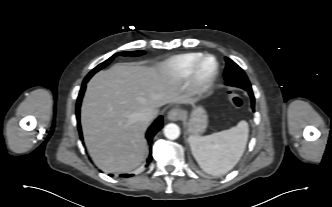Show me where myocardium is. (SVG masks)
<instances>
[{"label":"myocardium","mask_w":332,"mask_h":207,"mask_svg":"<svg viewBox=\"0 0 332 207\" xmlns=\"http://www.w3.org/2000/svg\"><path fill=\"white\" fill-rule=\"evenodd\" d=\"M207 59H211L214 65L212 71L208 75L204 76L201 74V66L203 62ZM218 73L219 63L216 57L210 54L202 55L196 60L189 74V83L191 90L195 93H206L213 86L218 76Z\"/></svg>","instance_id":"obj_1"}]
</instances>
